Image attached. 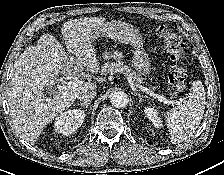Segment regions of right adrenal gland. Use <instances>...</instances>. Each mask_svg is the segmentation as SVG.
I'll return each mask as SVG.
<instances>
[{"instance_id": "2a0ac1e0", "label": "right adrenal gland", "mask_w": 224, "mask_h": 175, "mask_svg": "<svg viewBox=\"0 0 224 175\" xmlns=\"http://www.w3.org/2000/svg\"><path fill=\"white\" fill-rule=\"evenodd\" d=\"M91 101L89 102H83V103H79L80 106H85L86 108H88V106L90 105Z\"/></svg>"}]
</instances>
